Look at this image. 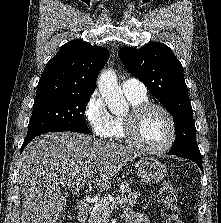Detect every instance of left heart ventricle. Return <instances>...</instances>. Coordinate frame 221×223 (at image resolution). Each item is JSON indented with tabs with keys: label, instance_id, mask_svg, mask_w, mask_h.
<instances>
[{
	"label": "left heart ventricle",
	"instance_id": "b2bd125f",
	"mask_svg": "<svg viewBox=\"0 0 221 223\" xmlns=\"http://www.w3.org/2000/svg\"><path fill=\"white\" fill-rule=\"evenodd\" d=\"M137 136L140 141L152 145L161 146L167 142L170 136V126L166 115L157 109L147 111L138 124Z\"/></svg>",
	"mask_w": 221,
	"mask_h": 223
}]
</instances>
